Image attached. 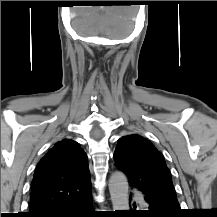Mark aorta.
<instances>
[{"instance_id": "aorta-1", "label": "aorta", "mask_w": 217, "mask_h": 217, "mask_svg": "<svg viewBox=\"0 0 217 217\" xmlns=\"http://www.w3.org/2000/svg\"><path fill=\"white\" fill-rule=\"evenodd\" d=\"M109 192L113 209L129 210L128 180L122 172H115L109 179Z\"/></svg>"}]
</instances>
